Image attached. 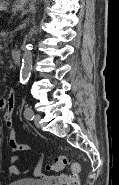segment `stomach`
<instances>
[{
	"label": "stomach",
	"instance_id": "1",
	"mask_svg": "<svg viewBox=\"0 0 119 185\" xmlns=\"http://www.w3.org/2000/svg\"><path fill=\"white\" fill-rule=\"evenodd\" d=\"M24 8V4L20 5L19 9H23Z\"/></svg>",
	"mask_w": 119,
	"mask_h": 185
}]
</instances>
